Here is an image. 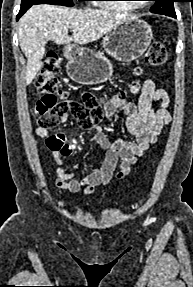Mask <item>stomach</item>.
<instances>
[{"label": "stomach", "mask_w": 193, "mask_h": 287, "mask_svg": "<svg viewBox=\"0 0 193 287\" xmlns=\"http://www.w3.org/2000/svg\"><path fill=\"white\" fill-rule=\"evenodd\" d=\"M153 40L151 26L143 20L132 18L107 33L102 41L105 52L114 59L129 63L138 59ZM68 59L67 73L82 85H95L112 76L110 61L89 48L69 45L64 48Z\"/></svg>", "instance_id": "obj_1"}]
</instances>
